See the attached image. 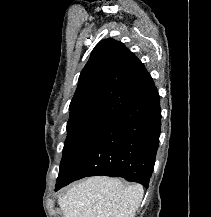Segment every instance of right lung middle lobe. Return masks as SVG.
I'll return each mask as SVG.
<instances>
[{
    "instance_id": "obj_1",
    "label": "right lung middle lobe",
    "mask_w": 211,
    "mask_h": 217,
    "mask_svg": "<svg viewBox=\"0 0 211 217\" xmlns=\"http://www.w3.org/2000/svg\"><path fill=\"white\" fill-rule=\"evenodd\" d=\"M116 116L99 113L68 121V135L64 143L58 179L66 176L78 159Z\"/></svg>"
}]
</instances>
